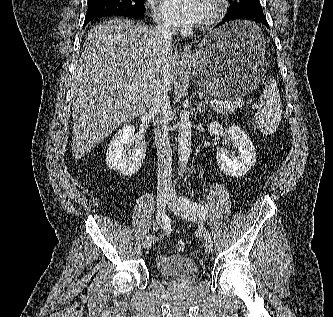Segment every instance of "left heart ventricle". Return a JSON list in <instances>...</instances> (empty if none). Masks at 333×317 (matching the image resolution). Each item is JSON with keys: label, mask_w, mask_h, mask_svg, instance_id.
Listing matches in <instances>:
<instances>
[{"label": "left heart ventricle", "mask_w": 333, "mask_h": 317, "mask_svg": "<svg viewBox=\"0 0 333 317\" xmlns=\"http://www.w3.org/2000/svg\"><path fill=\"white\" fill-rule=\"evenodd\" d=\"M210 5L207 2V0H202V9H201V17L198 23H200L201 21H203L209 14L210 12Z\"/></svg>", "instance_id": "left-heart-ventricle-1"}]
</instances>
